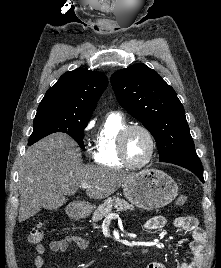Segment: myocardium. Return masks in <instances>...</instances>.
<instances>
[{
  "mask_svg": "<svg viewBox=\"0 0 221 268\" xmlns=\"http://www.w3.org/2000/svg\"><path fill=\"white\" fill-rule=\"evenodd\" d=\"M133 130H140L142 132H144L149 141H150V152L148 157L139 164H135L132 163L127 155V151H126V140H127V136L129 135V133ZM117 150H118V156L121 160V162L129 168L132 169H140L145 167L146 165H148L152 159L154 158L155 155V151H156V140L155 137L153 135V133L145 126L140 125V124H130V125H126L120 132L117 138Z\"/></svg>",
  "mask_w": 221,
  "mask_h": 268,
  "instance_id": "f54148a6",
  "label": "myocardium"
}]
</instances>
